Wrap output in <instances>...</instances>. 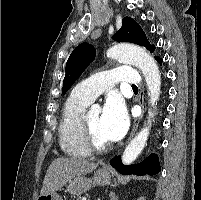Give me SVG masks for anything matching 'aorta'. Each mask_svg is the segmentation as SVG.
I'll list each match as a JSON object with an SVG mask.
<instances>
[{
  "label": "aorta",
  "instance_id": "1",
  "mask_svg": "<svg viewBox=\"0 0 201 200\" xmlns=\"http://www.w3.org/2000/svg\"><path fill=\"white\" fill-rule=\"evenodd\" d=\"M106 54L109 58L134 65L142 71L148 87L149 104L154 107L161 89V75L154 58L144 49L129 44H117L108 49ZM153 116L154 112L149 110L147 124L131 140L122 155L124 164L132 163L143 150L149 136Z\"/></svg>",
  "mask_w": 201,
  "mask_h": 200
}]
</instances>
